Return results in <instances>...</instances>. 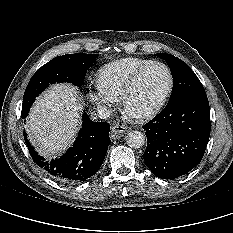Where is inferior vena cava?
<instances>
[{
	"mask_svg": "<svg viewBox=\"0 0 233 233\" xmlns=\"http://www.w3.org/2000/svg\"><path fill=\"white\" fill-rule=\"evenodd\" d=\"M97 113L99 118L101 119H107L110 117L111 110H109L106 106H98L97 107Z\"/></svg>",
	"mask_w": 233,
	"mask_h": 233,
	"instance_id": "1",
	"label": "inferior vena cava"
}]
</instances>
